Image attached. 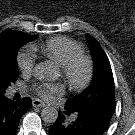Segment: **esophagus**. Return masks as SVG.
I'll use <instances>...</instances> for the list:
<instances>
[{
  "label": "esophagus",
  "instance_id": "esophagus-1",
  "mask_svg": "<svg viewBox=\"0 0 135 135\" xmlns=\"http://www.w3.org/2000/svg\"><path fill=\"white\" fill-rule=\"evenodd\" d=\"M33 106L34 107H45L46 104L39 99H34L33 100Z\"/></svg>",
  "mask_w": 135,
  "mask_h": 135
}]
</instances>
